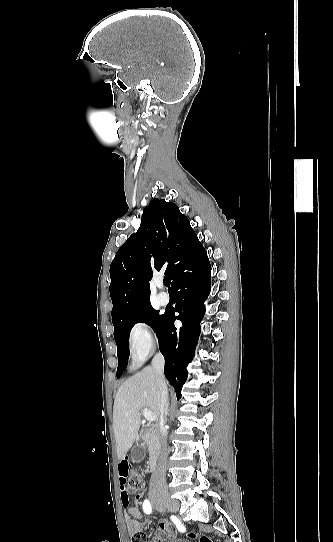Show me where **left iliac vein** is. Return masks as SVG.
<instances>
[{"label":"left iliac vein","mask_w":333,"mask_h":542,"mask_svg":"<svg viewBox=\"0 0 333 542\" xmlns=\"http://www.w3.org/2000/svg\"><path fill=\"white\" fill-rule=\"evenodd\" d=\"M159 509H160L161 512H167V509H165V508H162V507H161V508H159Z\"/></svg>","instance_id":"left-iliac-vein-1"}]
</instances>
